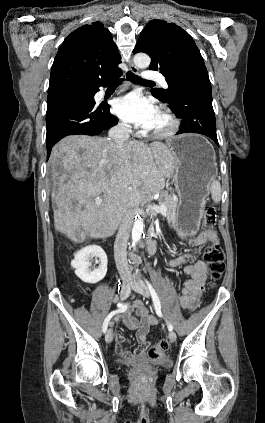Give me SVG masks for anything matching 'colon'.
Instances as JSON below:
<instances>
[{"mask_svg":"<svg viewBox=\"0 0 265 423\" xmlns=\"http://www.w3.org/2000/svg\"><path fill=\"white\" fill-rule=\"evenodd\" d=\"M216 221V214L213 209H207L204 216V224L212 227ZM203 260L208 267L212 281L218 280L225 271V254L219 244L211 243L204 250ZM170 344L167 339H160L148 350V356L152 360H164L168 354Z\"/></svg>","mask_w":265,"mask_h":423,"instance_id":"obj_1","label":"colon"}]
</instances>
